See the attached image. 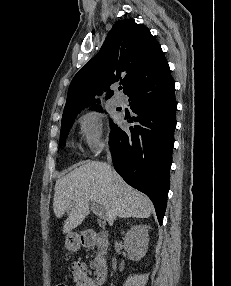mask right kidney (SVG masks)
I'll return each mask as SVG.
<instances>
[{"label": "right kidney", "instance_id": "obj_1", "mask_svg": "<svg viewBox=\"0 0 231 286\" xmlns=\"http://www.w3.org/2000/svg\"><path fill=\"white\" fill-rule=\"evenodd\" d=\"M149 243L148 228L145 225H136L127 231L124 239L125 249L133 261L141 260L147 250Z\"/></svg>", "mask_w": 231, "mask_h": 286}]
</instances>
